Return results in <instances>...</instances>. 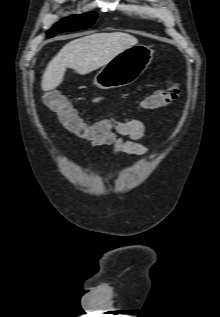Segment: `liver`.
<instances>
[{
  "instance_id": "1",
  "label": "liver",
  "mask_w": 220,
  "mask_h": 317,
  "mask_svg": "<svg viewBox=\"0 0 220 317\" xmlns=\"http://www.w3.org/2000/svg\"><path fill=\"white\" fill-rule=\"evenodd\" d=\"M137 43V38L123 32L95 33L72 40L48 63L42 76V90L58 87L67 68L76 70L80 75L88 74Z\"/></svg>"
}]
</instances>
